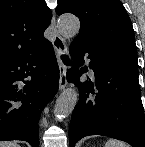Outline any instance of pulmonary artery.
<instances>
[{"instance_id":"1","label":"pulmonary artery","mask_w":145,"mask_h":147,"mask_svg":"<svg viewBox=\"0 0 145 147\" xmlns=\"http://www.w3.org/2000/svg\"><path fill=\"white\" fill-rule=\"evenodd\" d=\"M85 61H86L87 63H89V59H88L87 57H85Z\"/></svg>"}]
</instances>
